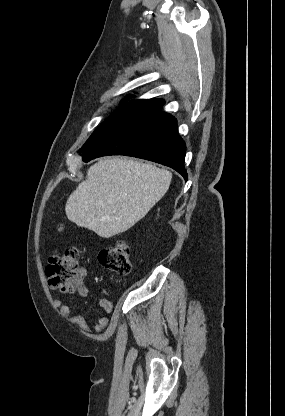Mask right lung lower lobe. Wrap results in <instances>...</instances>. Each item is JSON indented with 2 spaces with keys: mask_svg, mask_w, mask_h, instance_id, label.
Returning <instances> with one entry per match:
<instances>
[{
  "mask_svg": "<svg viewBox=\"0 0 285 416\" xmlns=\"http://www.w3.org/2000/svg\"><path fill=\"white\" fill-rule=\"evenodd\" d=\"M186 145L177 120L159 111L101 141L83 152L84 162L106 155L138 157L169 166L187 181L184 168Z\"/></svg>",
  "mask_w": 285,
  "mask_h": 416,
  "instance_id": "obj_1",
  "label": "right lung lower lobe"
}]
</instances>
